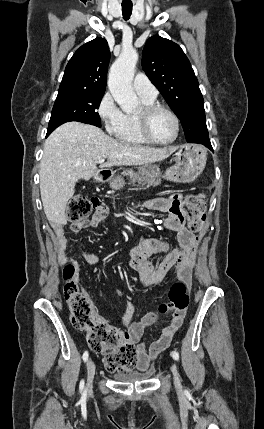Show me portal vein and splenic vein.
<instances>
[{
    "label": "portal vein and splenic vein",
    "instance_id": "portal-vein-and-splenic-vein-1",
    "mask_svg": "<svg viewBox=\"0 0 264 429\" xmlns=\"http://www.w3.org/2000/svg\"><path fill=\"white\" fill-rule=\"evenodd\" d=\"M104 161H105V159L102 158V159L98 160V163H103Z\"/></svg>",
    "mask_w": 264,
    "mask_h": 429
}]
</instances>
